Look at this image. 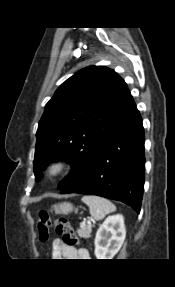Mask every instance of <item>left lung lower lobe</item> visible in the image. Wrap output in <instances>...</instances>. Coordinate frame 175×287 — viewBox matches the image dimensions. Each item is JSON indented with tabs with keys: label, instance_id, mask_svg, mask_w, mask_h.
<instances>
[{
	"label": "left lung lower lobe",
	"instance_id": "obj_1",
	"mask_svg": "<svg viewBox=\"0 0 175 287\" xmlns=\"http://www.w3.org/2000/svg\"><path fill=\"white\" fill-rule=\"evenodd\" d=\"M144 167V129L136 108L99 146L86 172L60 193L92 194L122 201L139 213Z\"/></svg>",
	"mask_w": 175,
	"mask_h": 287
}]
</instances>
